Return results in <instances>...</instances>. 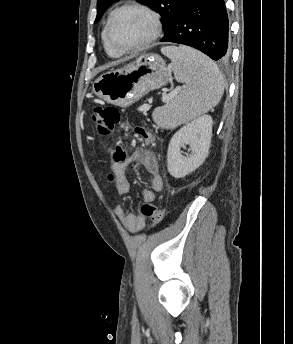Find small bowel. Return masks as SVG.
<instances>
[{"label":"small bowel","instance_id":"c3829d8e","mask_svg":"<svg viewBox=\"0 0 293 344\" xmlns=\"http://www.w3.org/2000/svg\"><path fill=\"white\" fill-rule=\"evenodd\" d=\"M131 163L142 167L150 175V189H144L141 195L145 202L152 203L155 200L156 192L161 191L163 187L159 163L155 154L147 149H139L134 153ZM129 166L130 163H121L112 167L110 179L114 182L116 191L120 195H125L130 190V180L127 176ZM114 213L120 222L131 232L142 230L147 223L148 216L142 212H128L122 205L117 206Z\"/></svg>","mask_w":293,"mask_h":344}]
</instances>
